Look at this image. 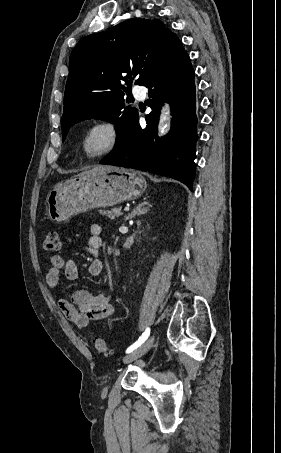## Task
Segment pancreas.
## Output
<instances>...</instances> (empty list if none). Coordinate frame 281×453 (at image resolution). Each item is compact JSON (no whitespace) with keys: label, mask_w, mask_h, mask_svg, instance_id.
I'll list each match as a JSON object with an SVG mask.
<instances>
[{"label":"pancreas","mask_w":281,"mask_h":453,"mask_svg":"<svg viewBox=\"0 0 281 453\" xmlns=\"http://www.w3.org/2000/svg\"><path fill=\"white\" fill-rule=\"evenodd\" d=\"M121 208H111V210H100L101 214H106L109 218H115V216H120L122 212H120Z\"/></svg>","instance_id":"pancreas-1"}]
</instances>
